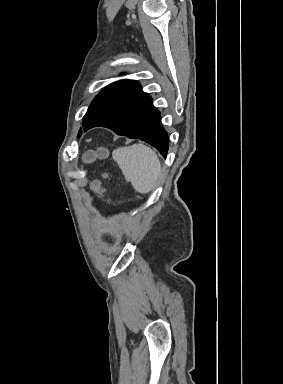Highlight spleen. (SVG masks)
I'll return each instance as SVG.
<instances>
[{
    "label": "spleen",
    "instance_id": "obj_1",
    "mask_svg": "<svg viewBox=\"0 0 283 384\" xmlns=\"http://www.w3.org/2000/svg\"><path fill=\"white\" fill-rule=\"evenodd\" d=\"M112 156L125 180L131 182L136 192L148 194L155 188L161 174V164L154 150L144 144H133L127 148H117Z\"/></svg>",
    "mask_w": 283,
    "mask_h": 384
}]
</instances>
